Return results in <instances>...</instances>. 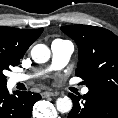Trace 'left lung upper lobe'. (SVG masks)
<instances>
[{"label": "left lung upper lobe", "mask_w": 118, "mask_h": 118, "mask_svg": "<svg viewBox=\"0 0 118 118\" xmlns=\"http://www.w3.org/2000/svg\"><path fill=\"white\" fill-rule=\"evenodd\" d=\"M61 30L78 45L76 76L89 91L118 95V37L111 31L87 25H68Z\"/></svg>", "instance_id": "1"}]
</instances>
